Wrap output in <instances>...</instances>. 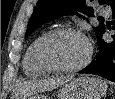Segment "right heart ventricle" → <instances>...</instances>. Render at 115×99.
<instances>
[{"mask_svg":"<svg viewBox=\"0 0 115 99\" xmlns=\"http://www.w3.org/2000/svg\"><path fill=\"white\" fill-rule=\"evenodd\" d=\"M49 31H44L39 34L27 47L23 57V70L26 76L37 78L44 76L48 73L38 62L36 57V48L40 39Z\"/></svg>","mask_w":115,"mask_h":99,"instance_id":"right-heart-ventricle-1","label":"right heart ventricle"}]
</instances>
